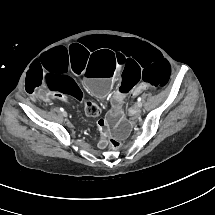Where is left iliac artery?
Segmentation results:
<instances>
[{
    "label": "left iliac artery",
    "mask_w": 215,
    "mask_h": 215,
    "mask_svg": "<svg viewBox=\"0 0 215 215\" xmlns=\"http://www.w3.org/2000/svg\"><path fill=\"white\" fill-rule=\"evenodd\" d=\"M137 102H138V104H140L142 106V99H141V97L138 98Z\"/></svg>",
    "instance_id": "obj_1"
}]
</instances>
